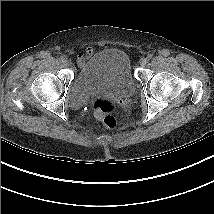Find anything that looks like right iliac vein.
<instances>
[{"instance_id": "63e3f726", "label": "right iliac vein", "mask_w": 214, "mask_h": 214, "mask_svg": "<svg viewBox=\"0 0 214 214\" xmlns=\"http://www.w3.org/2000/svg\"><path fill=\"white\" fill-rule=\"evenodd\" d=\"M63 63H64V65H66V66L70 65V61H69L68 59H65Z\"/></svg>"}]
</instances>
